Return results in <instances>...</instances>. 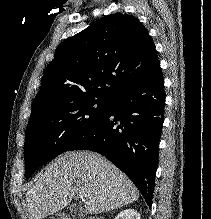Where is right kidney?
Listing matches in <instances>:
<instances>
[{
    "label": "right kidney",
    "mask_w": 211,
    "mask_h": 219,
    "mask_svg": "<svg viewBox=\"0 0 211 219\" xmlns=\"http://www.w3.org/2000/svg\"><path fill=\"white\" fill-rule=\"evenodd\" d=\"M114 219H141L140 214L134 209L121 211Z\"/></svg>",
    "instance_id": "1"
}]
</instances>
